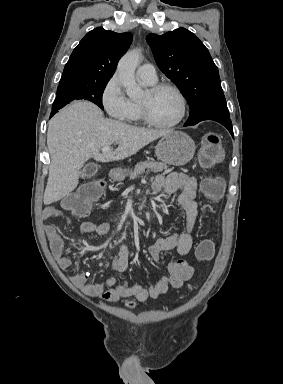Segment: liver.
I'll return each mask as SVG.
<instances>
[{
    "label": "liver",
    "instance_id": "6515ba94",
    "mask_svg": "<svg viewBox=\"0 0 283 384\" xmlns=\"http://www.w3.org/2000/svg\"><path fill=\"white\" fill-rule=\"evenodd\" d=\"M166 134L170 130H147L108 120L98 106L87 100L72 102L49 122L47 146L51 164L44 204L58 202L77 188L79 170L89 158L96 162L125 160ZM112 144H119L117 150L100 154L101 148Z\"/></svg>",
    "mask_w": 283,
    "mask_h": 384
}]
</instances>
